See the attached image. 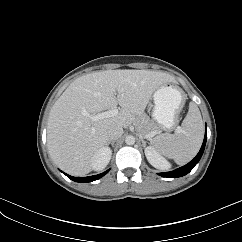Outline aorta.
Masks as SVG:
<instances>
[{
  "instance_id": "obj_1",
  "label": "aorta",
  "mask_w": 242,
  "mask_h": 242,
  "mask_svg": "<svg viewBox=\"0 0 242 242\" xmlns=\"http://www.w3.org/2000/svg\"><path fill=\"white\" fill-rule=\"evenodd\" d=\"M125 143H126L127 145H133V144H135V137L132 136V135L127 136V137L125 138Z\"/></svg>"
}]
</instances>
